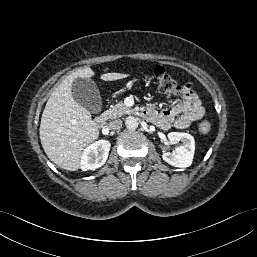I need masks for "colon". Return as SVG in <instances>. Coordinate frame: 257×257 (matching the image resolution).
<instances>
[{"mask_svg":"<svg viewBox=\"0 0 257 257\" xmlns=\"http://www.w3.org/2000/svg\"><path fill=\"white\" fill-rule=\"evenodd\" d=\"M153 77L156 80L158 91L165 94L167 97L181 94L182 86L178 85L163 67H156ZM199 130L202 133H208L210 130V123L208 121H202L199 125Z\"/></svg>","mask_w":257,"mask_h":257,"instance_id":"1","label":"colon"}]
</instances>
